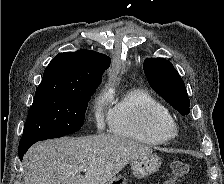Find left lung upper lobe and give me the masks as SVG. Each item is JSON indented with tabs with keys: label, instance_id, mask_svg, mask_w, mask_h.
<instances>
[{
	"label": "left lung upper lobe",
	"instance_id": "obj_1",
	"mask_svg": "<svg viewBox=\"0 0 224 184\" xmlns=\"http://www.w3.org/2000/svg\"><path fill=\"white\" fill-rule=\"evenodd\" d=\"M143 69L152 89L181 115H188L190 112L189 97L184 81L172 63L164 58H147Z\"/></svg>",
	"mask_w": 224,
	"mask_h": 184
}]
</instances>
